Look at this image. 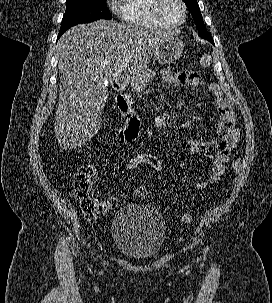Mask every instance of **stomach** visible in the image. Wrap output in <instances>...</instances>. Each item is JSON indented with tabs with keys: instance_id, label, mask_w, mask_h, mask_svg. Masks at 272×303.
<instances>
[{
	"instance_id": "stomach-1",
	"label": "stomach",
	"mask_w": 272,
	"mask_h": 303,
	"mask_svg": "<svg viewBox=\"0 0 272 303\" xmlns=\"http://www.w3.org/2000/svg\"><path fill=\"white\" fill-rule=\"evenodd\" d=\"M183 50V42L176 37L170 36L160 43L154 56L159 63H173L182 56Z\"/></svg>"
}]
</instances>
